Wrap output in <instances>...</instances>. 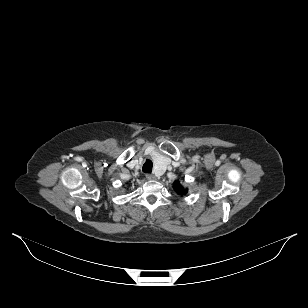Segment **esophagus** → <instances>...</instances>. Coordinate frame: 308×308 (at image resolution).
I'll return each mask as SVG.
<instances>
[{"instance_id":"1","label":"esophagus","mask_w":308,"mask_h":308,"mask_svg":"<svg viewBox=\"0 0 308 308\" xmlns=\"http://www.w3.org/2000/svg\"><path fill=\"white\" fill-rule=\"evenodd\" d=\"M146 178L148 180H154L155 179V176L153 174H146Z\"/></svg>"}]
</instances>
